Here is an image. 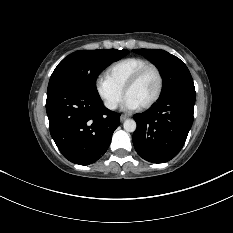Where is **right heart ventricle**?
Instances as JSON below:
<instances>
[{
	"label": "right heart ventricle",
	"instance_id": "right-heart-ventricle-1",
	"mask_svg": "<svg viewBox=\"0 0 233 233\" xmlns=\"http://www.w3.org/2000/svg\"><path fill=\"white\" fill-rule=\"evenodd\" d=\"M149 62L140 57H128L110 65L106 76L120 89L124 90L127 81L141 67Z\"/></svg>",
	"mask_w": 233,
	"mask_h": 233
}]
</instances>
